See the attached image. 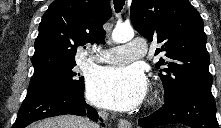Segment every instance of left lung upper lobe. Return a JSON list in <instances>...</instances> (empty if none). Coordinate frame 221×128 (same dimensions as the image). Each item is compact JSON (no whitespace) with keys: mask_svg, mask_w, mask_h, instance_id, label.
Wrapping results in <instances>:
<instances>
[{"mask_svg":"<svg viewBox=\"0 0 221 128\" xmlns=\"http://www.w3.org/2000/svg\"><path fill=\"white\" fill-rule=\"evenodd\" d=\"M131 22L164 52L156 68L164 86V102L191 89L211 90L206 34L198 11L188 0H133ZM161 67V68H160Z\"/></svg>","mask_w":221,"mask_h":128,"instance_id":"5c2ea615","label":"left lung upper lobe"}]
</instances>
